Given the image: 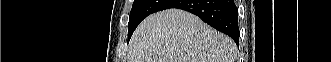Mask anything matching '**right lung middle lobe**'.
Masks as SVG:
<instances>
[{"mask_svg":"<svg viewBox=\"0 0 331 62\" xmlns=\"http://www.w3.org/2000/svg\"><path fill=\"white\" fill-rule=\"evenodd\" d=\"M170 1L171 0H134L128 24V40L144 18L154 12L162 10Z\"/></svg>","mask_w":331,"mask_h":62,"instance_id":"right-lung-middle-lobe-1","label":"right lung middle lobe"}]
</instances>
